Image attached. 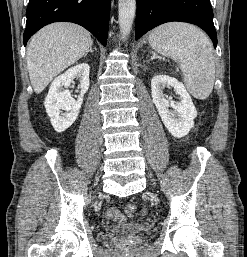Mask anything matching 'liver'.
Here are the masks:
<instances>
[{
    "label": "liver",
    "instance_id": "obj_1",
    "mask_svg": "<svg viewBox=\"0 0 247 257\" xmlns=\"http://www.w3.org/2000/svg\"><path fill=\"white\" fill-rule=\"evenodd\" d=\"M93 44L90 33L74 23H52L39 30L27 48V66L36 94L70 65L83 57Z\"/></svg>",
    "mask_w": 247,
    "mask_h": 257
}]
</instances>
